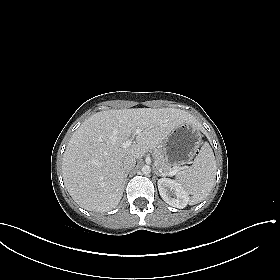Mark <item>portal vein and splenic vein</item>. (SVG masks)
I'll return each mask as SVG.
<instances>
[{
  "instance_id": "obj_1",
  "label": "portal vein and splenic vein",
  "mask_w": 280,
  "mask_h": 280,
  "mask_svg": "<svg viewBox=\"0 0 280 280\" xmlns=\"http://www.w3.org/2000/svg\"><path fill=\"white\" fill-rule=\"evenodd\" d=\"M141 132H142V129L137 128V129L135 130L134 136L140 134ZM134 136H133L132 138L127 139L126 141H124V142L122 143V147H123V148L129 147V146L132 144V141H133V139H134ZM183 169H186V166L175 167V168H173L170 172H168V173H166V174L169 175V176H173V175H176L180 170H183Z\"/></svg>"
}]
</instances>
